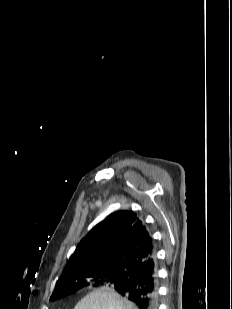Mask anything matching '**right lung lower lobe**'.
Returning <instances> with one entry per match:
<instances>
[{
    "label": "right lung lower lobe",
    "instance_id": "98d812e1",
    "mask_svg": "<svg viewBox=\"0 0 232 309\" xmlns=\"http://www.w3.org/2000/svg\"><path fill=\"white\" fill-rule=\"evenodd\" d=\"M127 283L115 287L122 296L134 302L139 309H158L157 264L155 255L140 265L128 269Z\"/></svg>",
    "mask_w": 232,
    "mask_h": 309
}]
</instances>
